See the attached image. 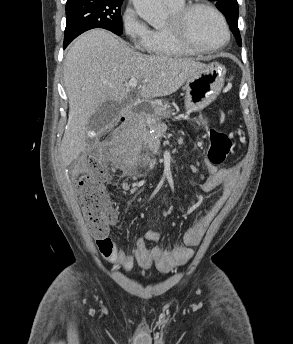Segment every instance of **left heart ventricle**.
Instances as JSON below:
<instances>
[{
    "instance_id": "obj_1",
    "label": "left heart ventricle",
    "mask_w": 293,
    "mask_h": 344,
    "mask_svg": "<svg viewBox=\"0 0 293 344\" xmlns=\"http://www.w3.org/2000/svg\"><path fill=\"white\" fill-rule=\"evenodd\" d=\"M187 33L195 44L202 47L216 46L225 39L219 19L211 11L203 8L196 9L190 14Z\"/></svg>"
}]
</instances>
